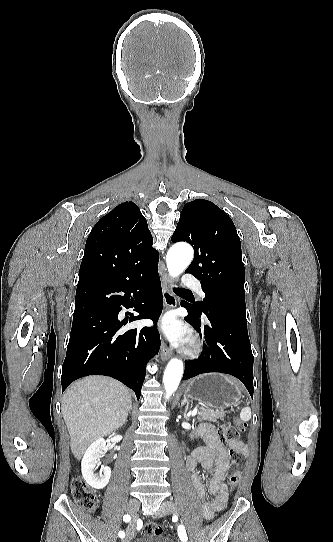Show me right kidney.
Segmentation results:
<instances>
[{
    "mask_svg": "<svg viewBox=\"0 0 333 542\" xmlns=\"http://www.w3.org/2000/svg\"><path fill=\"white\" fill-rule=\"evenodd\" d=\"M114 438H109V442H115L117 440L118 436H115V434H112ZM106 450V440H103V438H99V440H96V442H93L89 448H87L83 460L81 462V472L82 476L86 482V484H89L91 488H95V490H102V488H105L107 486L110 476H111V468H108V466H101V476H98V474H94V470L100 460V458H103Z\"/></svg>",
    "mask_w": 333,
    "mask_h": 542,
    "instance_id": "1",
    "label": "right kidney"
}]
</instances>
